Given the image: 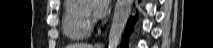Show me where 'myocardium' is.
Masks as SVG:
<instances>
[{"label": "myocardium", "mask_w": 213, "mask_h": 48, "mask_svg": "<svg viewBox=\"0 0 213 48\" xmlns=\"http://www.w3.org/2000/svg\"><path fill=\"white\" fill-rule=\"evenodd\" d=\"M80 5V4H79ZM81 6V12H82V15L84 17V19L86 20V22L90 25L93 23V20H92V17H91V13H88L84 10V6L80 5Z\"/></svg>", "instance_id": "obj_1"}]
</instances>
